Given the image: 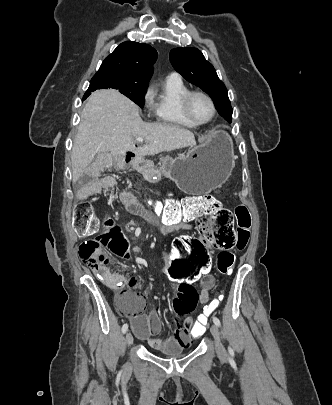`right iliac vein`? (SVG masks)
<instances>
[{"instance_id": "1", "label": "right iliac vein", "mask_w": 332, "mask_h": 405, "mask_svg": "<svg viewBox=\"0 0 332 405\" xmlns=\"http://www.w3.org/2000/svg\"><path fill=\"white\" fill-rule=\"evenodd\" d=\"M133 336L130 332H127L126 336H125V342L127 346H131L133 343Z\"/></svg>"}]
</instances>
